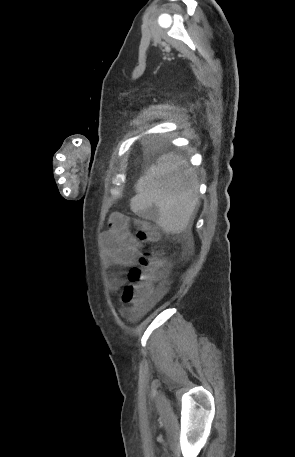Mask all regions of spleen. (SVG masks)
I'll list each match as a JSON object with an SVG mask.
<instances>
[{
  "label": "spleen",
  "instance_id": "spleen-1",
  "mask_svg": "<svg viewBox=\"0 0 295 457\" xmlns=\"http://www.w3.org/2000/svg\"><path fill=\"white\" fill-rule=\"evenodd\" d=\"M198 179L179 155L160 157L136 184L132 211L152 219L171 234L184 231L198 203Z\"/></svg>",
  "mask_w": 295,
  "mask_h": 457
}]
</instances>
